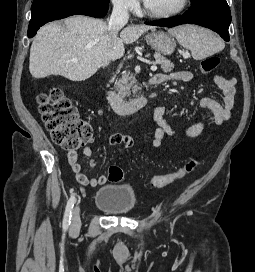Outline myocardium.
Here are the masks:
<instances>
[{
    "instance_id": "1",
    "label": "myocardium",
    "mask_w": 255,
    "mask_h": 272,
    "mask_svg": "<svg viewBox=\"0 0 255 272\" xmlns=\"http://www.w3.org/2000/svg\"><path fill=\"white\" fill-rule=\"evenodd\" d=\"M189 2L190 0H182L181 4L177 8L165 12H152L147 8L145 3L144 13L152 18H170L182 13L188 7Z\"/></svg>"
}]
</instances>
